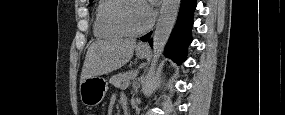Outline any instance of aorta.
Segmentation results:
<instances>
[{
    "label": "aorta",
    "mask_w": 285,
    "mask_h": 115,
    "mask_svg": "<svg viewBox=\"0 0 285 115\" xmlns=\"http://www.w3.org/2000/svg\"><path fill=\"white\" fill-rule=\"evenodd\" d=\"M180 0H163L160 15L157 20L156 29L153 36V57L151 67L142 81V92L150 86L156 64L162 55L167 40L171 34L180 7Z\"/></svg>",
    "instance_id": "762f6f07"
}]
</instances>
